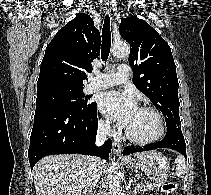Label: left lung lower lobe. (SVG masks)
Segmentation results:
<instances>
[{"label":"left lung lower lobe","instance_id":"1","mask_svg":"<svg viewBox=\"0 0 211 195\" xmlns=\"http://www.w3.org/2000/svg\"><path fill=\"white\" fill-rule=\"evenodd\" d=\"M157 148H170L180 152L182 155L186 157V144L184 140V136L182 134L181 128H175L170 131H167L166 136L163 140L149 144L145 147H138V148H130L127 147L123 150V155H128L133 152H140V151H147L153 150Z\"/></svg>","mask_w":211,"mask_h":195}]
</instances>
